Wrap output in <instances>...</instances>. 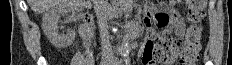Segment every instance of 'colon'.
<instances>
[{
    "instance_id": "5ec220e1",
    "label": "colon",
    "mask_w": 232,
    "mask_h": 65,
    "mask_svg": "<svg viewBox=\"0 0 232 65\" xmlns=\"http://www.w3.org/2000/svg\"><path fill=\"white\" fill-rule=\"evenodd\" d=\"M176 0L161 1V5L175 3ZM189 28L183 44L172 40L170 37H160L155 48V58L159 62L178 61L180 65H193L198 58L201 49V31L200 22L204 18L206 0H188Z\"/></svg>"
}]
</instances>
